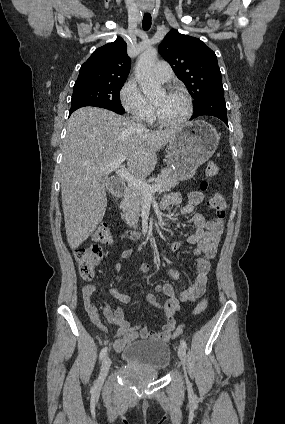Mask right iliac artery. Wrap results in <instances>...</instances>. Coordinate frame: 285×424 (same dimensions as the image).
Here are the masks:
<instances>
[{
	"label": "right iliac artery",
	"mask_w": 285,
	"mask_h": 424,
	"mask_svg": "<svg viewBox=\"0 0 285 424\" xmlns=\"http://www.w3.org/2000/svg\"><path fill=\"white\" fill-rule=\"evenodd\" d=\"M106 353H107V347H104L100 352L99 359L102 360L104 356L106 355ZM96 387H97V381H95L93 389L95 390Z\"/></svg>",
	"instance_id": "1"
}]
</instances>
